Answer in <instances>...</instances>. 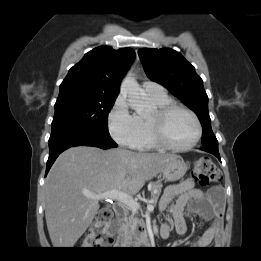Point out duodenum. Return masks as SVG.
Masks as SVG:
<instances>
[{"label": "duodenum", "mask_w": 261, "mask_h": 261, "mask_svg": "<svg viewBox=\"0 0 261 261\" xmlns=\"http://www.w3.org/2000/svg\"><path fill=\"white\" fill-rule=\"evenodd\" d=\"M119 214L120 216L123 215L122 208H119ZM120 228H121L120 220H115L110 222L105 230V235H107L105 243L119 245V242H116L115 236L120 231ZM132 243L135 245H147L149 243V237L145 231H142L136 237L133 238Z\"/></svg>", "instance_id": "obj_1"}]
</instances>
